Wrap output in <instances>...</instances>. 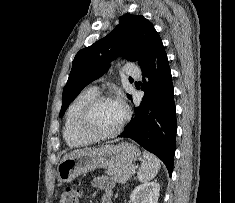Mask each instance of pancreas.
<instances>
[{"label": "pancreas", "mask_w": 235, "mask_h": 203, "mask_svg": "<svg viewBox=\"0 0 235 203\" xmlns=\"http://www.w3.org/2000/svg\"><path fill=\"white\" fill-rule=\"evenodd\" d=\"M134 166L132 164L111 167L106 170V174L112 176L115 182L125 183L132 177V169Z\"/></svg>", "instance_id": "pancreas-1"}]
</instances>
